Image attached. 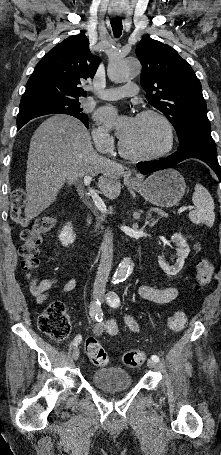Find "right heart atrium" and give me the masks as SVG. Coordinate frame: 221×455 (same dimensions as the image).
Returning a JSON list of instances; mask_svg holds the SVG:
<instances>
[{
    "label": "right heart atrium",
    "mask_w": 221,
    "mask_h": 455,
    "mask_svg": "<svg viewBox=\"0 0 221 455\" xmlns=\"http://www.w3.org/2000/svg\"><path fill=\"white\" fill-rule=\"evenodd\" d=\"M96 149L101 153H108L112 148V137L103 127H96L92 132Z\"/></svg>",
    "instance_id": "right-heart-atrium-1"
}]
</instances>
